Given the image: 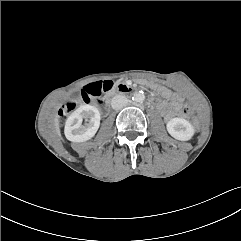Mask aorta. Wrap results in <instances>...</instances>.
<instances>
[{"mask_svg":"<svg viewBox=\"0 0 241 241\" xmlns=\"http://www.w3.org/2000/svg\"><path fill=\"white\" fill-rule=\"evenodd\" d=\"M133 101L137 103H141L145 100V95L143 92H135L132 97Z\"/></svg>","mask_w":241,"mask_h":241,"instance_id":"762f6f07","label":"aorta"}]
</instances>
